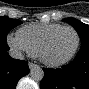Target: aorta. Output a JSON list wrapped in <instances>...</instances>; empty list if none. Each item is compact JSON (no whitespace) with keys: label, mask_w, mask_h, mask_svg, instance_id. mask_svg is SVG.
Returning a JSON list of instances; mask_svg holds the SVG:
<instances>
[{"label":"aorta","mask_w":89,"mask_h":89,"mask_svg":"<svg viewBox=\"0 0 89 89\" xmlns=\"http://www.w3.org/2000/svg\"><path fill=\"white\" fill-rule=\"evenodd\" d=\"M29 75H30L32 80L41 81L44 77V72H43V69L41 67L35 65L30 69Z\"/></svg>","instance_id":"1"}]
</instances>
